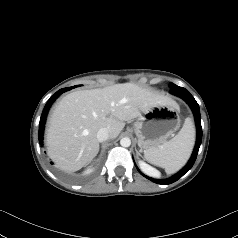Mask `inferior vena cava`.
Listing matches in <instances>:
<instances>
[{"mask_svg": "<svg viewBox=\"0 0 238 238\" xmlns=\"http://www.w3.org/2000/svg\"><path fill=\"white\" fill-rule=\"evenodd\" d=\"M109 139V131L106 128H101L97 132V140L103 142Z\"/></svg>", "mask_w": 238, "mask_h": 238, "instance_id": "602c4592", "label": "inferior vena cava"}]
</instances>
